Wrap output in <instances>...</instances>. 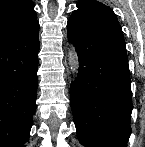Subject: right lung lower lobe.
Wrapping results in <instances>:
<instances>
[{
  "label": "right lung lower lobe",
  "instance_id": "1",
  "mask_svg": "<svg viewBox=\"0 0 145 147\" xmlns=\"http://www.w3.org/2000/svg\"><path fill=\"white\" fill-rule=\"evenodd\" d=\"M39 25L0 42V147H24L36 109Z\"/></svg>",
  "mask_w": 145,
  "mask_h": 147
}]
</instances>
